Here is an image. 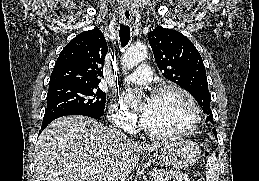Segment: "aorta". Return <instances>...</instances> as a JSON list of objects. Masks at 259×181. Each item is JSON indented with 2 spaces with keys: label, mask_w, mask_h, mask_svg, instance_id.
Returning <instances> with one entry per match:
<instances>
[{
  "label": "aorta",
  "mask_w": 259,
  "mask_h": 181,
  "mask_svg": "<svg viewBox=\"0 0 259 181\" xmlns=\"http://www.w3.org/2000/svg\"><path fill=\"white\" fill-rule=\"evenodd\" d=\"M147 55V47L144 44L133 45L124 53L122 57V65L127 69H132L134 66L145 60ZM139 99L140 97L132 101L131 107H136Z\"/></svg>",
  "instance_id": "obj_1"
}]
</instances>
